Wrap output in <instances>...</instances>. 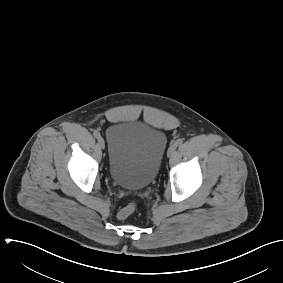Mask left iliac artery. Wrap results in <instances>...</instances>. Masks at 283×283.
I'll list each match as a JSON object with an SVG mask.
<instances>
[{"mask_svg": "<svg viewBox=\"0 0 283 283\" xmlns=\"http://www.w3.org/2000/svg\"><path fill=\"white\" fill-rule=\"evenodd\" d=\"M182 143H183V139H178V140H176V142H175V144H176L177 146L182 145Z\"/></svg>", "mask_w": 283, "mask_h": 283, "instance_id": "obj_1", "label": "left iliac artery"}]
</instances>
